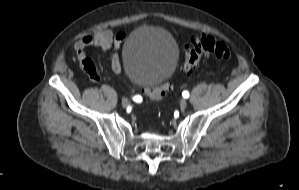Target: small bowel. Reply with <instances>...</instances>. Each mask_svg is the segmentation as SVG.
I'll return each instance as SVG.
<instances>
[{
	"label": "small bowel",
	"mask_w": 299,
	"mask_h": 190,
	"mask_svg": "<svg viewBox=\"0 0 299 190\" xmlns=\"http://www.w3.org/2000/svg\"><path fill=\"white\" fill-rule=\"evenodd\" d=\"M126 34L124 32H118L113 34L109 29L99 30L92 35H87L80 39L75 47L76 49H83L87 47H96L100 48L104 52H109L108 63L112 70L116 73L122 72V65L119 60V57L116 53V50L119 49L121 44L124 42ZM90 78L93 81L99 80V75L96 72L93 75H90Z\"/></svg>",
	"instance_id": "1"
}]
</instances>
